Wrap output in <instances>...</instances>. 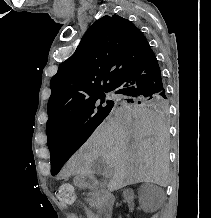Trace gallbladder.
I'll use <instances>...</instances> for the list:
<instances>
[{
  "instance_id": "1",
  "label": "gallbladder",
  "mask_w": 211,
  "mask_h": 218,
  "mask_svg": "<svg viewBox=\"0 0 211 218\" xmlns=\"http://www.w3.org/2000/svg\"><path fill=\"white\" fill-rule=\"evenodd\" d=\"M106 170L105 166H100L99 160L93 162L91 166V175H104V171Z\"/></svg>"
}]
</instances>
